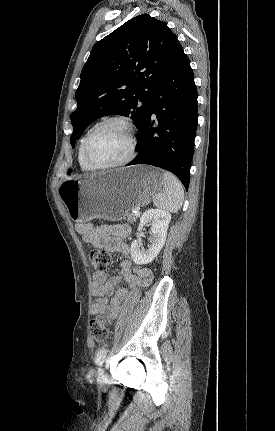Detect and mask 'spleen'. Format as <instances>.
<instances>
[{"label":"spleen","instance_id":"3e777b00","mask_svg":"<svg viewBox=\"0 0 275 431\" xmlns=\"http://www.w3.org/2000/svg\"><path fill=\"white\" fill-rule=\"evenodd\" d=\"M184 201V190L180 181L171 173H163V189L153 200L154 205L172 213L178 212Z\"/></svg>","mask_w":275,"mask_h":431}]
</instances>
